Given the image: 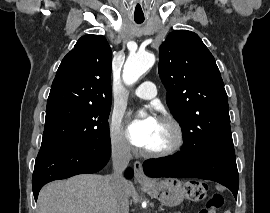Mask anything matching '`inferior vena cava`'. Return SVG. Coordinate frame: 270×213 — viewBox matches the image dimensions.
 Here are the masks:
<instances>
[{
	"mask_svg": "<svg viewBox=\"0 0 270 213\" xmlns=\"http://www.w3.org/2000/svg\"><path fill=\"white\" fill-rule=\"evenodd\" d=\"M111 157L113 173L108 176V179L116 203L114 213H129L128 198L124 189L126 180L123 172L132 157L130 145L124 141L114 144Z\"/></svg>",
	"mask_w": 270,
	"mask_h": 213,
	"instance_id": "inferior-vena-cava-1",
	"label": "inferior vena cava"
}]
</instances>
